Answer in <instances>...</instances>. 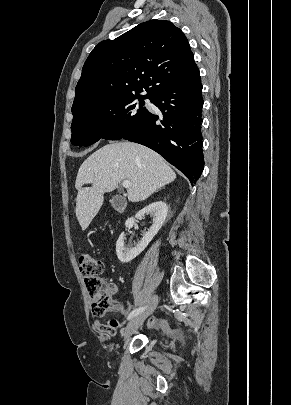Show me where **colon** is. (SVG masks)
<instances>
[{"label": "colon", "instance_id": "obj_1", "mask_svg": "<svg viewBox=\"0 0 291 405\" xmlns=\"http://www.w3.org/2000/svg\"><path fill=\"white\" fill-rule=\"evenodd\" d=\"M78 262L90 298L91 312L95 316H103L111 308L110 285L102 277L103 262L89 252L80 254ZM157 323L164 330L172 332L166 320L160 319Z\"/></svg>", "mask_w": 291, "mask_h": 405}]
</instances>
